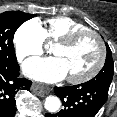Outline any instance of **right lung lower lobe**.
I'll return each mask as SVG.
<instances>
[{
  "label": "right lung lower lobe",
  "mask_w": 117,
  "mask_h": 117,
  "mask_svg": "<svg viewBox=\"0 0 117 117\" xmlns=\"http://www.w3.org/2000/svg\"><path fill=\"white\" fill-rule=\"evenodd\" d=\"M18 63L0 64V117H14L15 95L19 90H29L32 82L19 78Z\"/></svg>",
  "instance_id": "obj_1"
}]
</instances>
